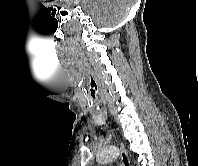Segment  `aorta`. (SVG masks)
<instances>
[{"instance_id":"1","label":"aorta","mask_w":198,"mask_h":166,"mask_svg":"<svg viewBox=\"0 0 198 166\" xmlns=\"http://www.w3.org/2000/svg\"><path fill=\"white\" fill-rule=\"evenodd\" d=\"M118 156H119L118 148L115 146H109L98 152L97 162L100 165H104L115 160Z\"/></svg>"}]
</instances>
